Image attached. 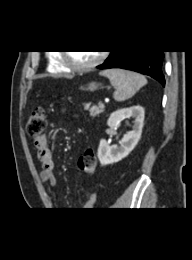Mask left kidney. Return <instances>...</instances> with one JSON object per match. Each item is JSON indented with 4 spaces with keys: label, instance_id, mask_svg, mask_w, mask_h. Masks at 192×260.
Instances as JSON below:
<instances>
[{
    "label": "left kidney",
    "instance_id": "obj_1",
    "mask_svg": "<svg viewBox=\"0 0 192 260\" xmlns=\"http://www.w3.org/2000/svg\"><path fill=\"white\" fill-rule=\"evenodd\" d=\"M144 115V109L139 105L119 109L110 115L107 124L112 128L116 127L124 118L133 117L134 122L132 130L123 136L119 145L110 146L105 139L100 141L97 154L101 165L116 163L129 155L140 140Z\"/></svg>",
    "mask_w": 192,
    "mask_h": 260
}]
</instances>
